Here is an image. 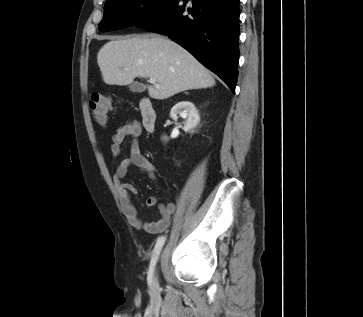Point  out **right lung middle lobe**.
I'll list each match as a JSON object with an SVG mask.
<instances>
[{
    "label": "right lung middle lobe",
    "mask_w": 363,
    "mask_h": 317,
    "mask_svg": "<svg viewBox=\"0 0 363 317\" xmlns=\"http://www.w3.org/2000/svg\"><path fill=\"white\" fill-rule=\"evenodd\" d=\"M176 0H107L98 29L102 32L136 26L169 9Z\"/></svg>",
    "instance_id": "dd1d6c3e"
}]
</instances>
